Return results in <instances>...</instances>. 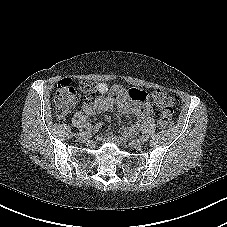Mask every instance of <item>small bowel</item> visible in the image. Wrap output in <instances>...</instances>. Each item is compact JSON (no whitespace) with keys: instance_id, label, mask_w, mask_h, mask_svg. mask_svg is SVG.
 I'll return each instance as SVG.
<instances>
[{"instance_id":"c3829d8e","label":"small bowel","mask_w":227,"mask_h":227,"mask_svg":"<svg viewBox=\"0 0 227 227\" xmlns=\"http://www.w3.org/2000/svg\"><path fill=\"white\" fill-rule=\"evenodd\" d=\"M98 92L100 95L92 101L82 104L83 111L88 115H95L100 112L111 111L116 107L123 114L134 115L137 122L122 129L124 136L135 135L139 130L140 122L152 112L147 102V94L139 88L109 87L105 83H99ZM110 137V135L107 136V138Z\"/></svg>"}]
</instances>
